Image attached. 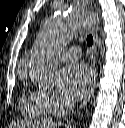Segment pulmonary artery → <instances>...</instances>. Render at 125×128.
Returning a JSON list of instances; mask_svg holds the SVG:
<instances>
[{
    "mask_svg": "<svg viewBox=\"0 0 125 128\" xmlns=\"http://www.w3.org/2000/svg\"><path fill=\"white\" fill-rule=\"evenodd\" d=\"M58 57L65 61L77 60L81 57V49L76 46L60 49L58 50Z\"/></svg>",
    "mask_w": 125,
    "mask_h": 128,
    "instance_id": "e3ab8cb5",
    "label": "pulmonary artery"
}]
</instances>
